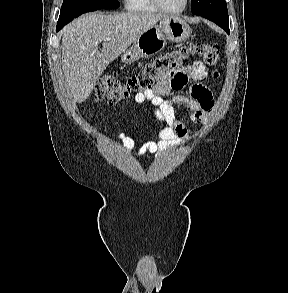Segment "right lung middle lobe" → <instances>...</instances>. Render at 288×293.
<instances>
[{
  "label": "right lung middle lobe",
  "mask_w": 288,
  "mask_h": 293,
  "mask_svg": "<svg viewBox=\"0 0 288 293\" xmlns=\"http://www.w3.org/2000/svg\"><path fill=\"white\" fill-rule=\"evenodd\" d=\"M118 6V0H64L57 27H64L83 13L99 9H116Z\"/></svg>",
  "instance_id": "right-lung-middle-lobe-1"
}]
</instances>
